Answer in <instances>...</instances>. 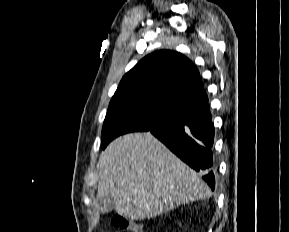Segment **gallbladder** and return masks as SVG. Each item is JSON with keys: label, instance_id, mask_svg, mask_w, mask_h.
<instances>
[{"label": "gallbladder", "instance_id": "bac80fb5", "mask_svg": "<svg viewBox=\"0 0 289 232\" xmlns=\"http://www.w3.org/2000/svg\"><path fill=\"white\" fill-rule=\"evenodd\" d=\"M98 204L102 213L110 212L113 209L111 203L104 199H98Z\"/></svg>", "mask_w": 289, "mask_h": 232}]
</instances>
